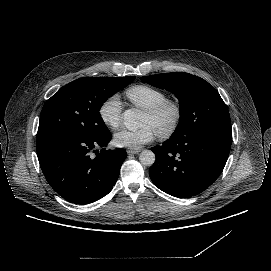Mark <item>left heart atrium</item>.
<instances>
[{
	"label": "left heart atrium",
	"mask_w": 271,
	"mask_h": 271,
	"mask_svg": "<svg viewBox=\"0 0 271 271\" xmlns=\"http://www.w3.org/2000/svg\"><path fill=\"white\" fill-rule=\"evenodd\" d=\"M155 131L148 125H144L136 131L121 130L114 136V144L121 148L138 150L145 144L153 141Z\"/></svg>",
	"instance_id": "39dd6f15"
}]
</instances>
